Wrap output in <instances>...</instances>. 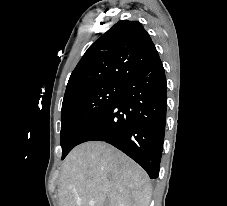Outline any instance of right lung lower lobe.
I'll list each match as a JSON object with an SVG mask.
<instances>
[{
	"label": "right lung lower lobe",
	"mask_w": 227,
	"mask_h": 206,
	"mask_svg": "<svg viewBox=\"0 0 227 206\" xmlns=\"http://www.w3.org/2000/svg\"><path fill=\"white\" fill-rule=\"evenodd\" d=\"M120 96L82 136L123 151L151 179L159 175L166 120V77L159 59L123 82ZM79 143V144H80Z\"/></svg>",
	"instance_id": "1"
}]
</instances>
